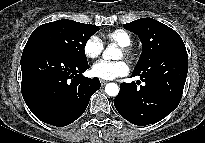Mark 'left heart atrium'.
Returning a JSON list of instances; mask_svg holds the SVG:
<instances>
[{
	"label": "left heart atrium",
	"instance_id": "obj_1",
	"mask_svg": "<svg viewBox=\"0 0 205 143\" xmlns=\"http://www.w3.org/2000/svg\"><path fill=\"white\" fill-rule=\"evenodd\" d=\"M129 66L123 60L105 61L101 60L93 64L92 75L105 80H112L128 73Z\"/></svg>",
	"mask_w": 205,
	"mask_h": 143
}]
</instances>
